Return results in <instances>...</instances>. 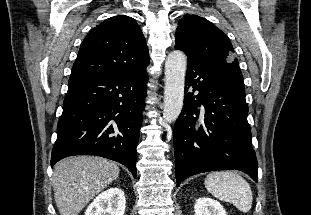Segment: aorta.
<instances>
[{
  "mask_svg": "<svg viewBox=\"0 0 311 215\" xmlns=\"http://www.w3.org/2000/svg\"><path fill=\"white\" fill-rule=\"evenodd\" d=\"M186 55L179 50L169 53L165 62L163 117L167 123L177 120L184 100Z\"/></svg>",
  "mask_w": 311,
  "mask_h": 215,
  "instance_id": "762f6f07",
  "label": "aorta"
}]
</instances>
